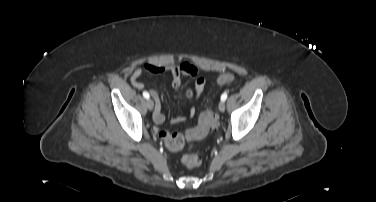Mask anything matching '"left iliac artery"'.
<instances>
[{
	"mask_svg": "<svg viewBox=\"0 0 376 202\" xmlns=\"http://www.w3.org/2000/svg\"><path fill=\"white\" fill-rule=\"evenodd\" d=\"M227 96H228L227 92H224V93L222 94V96H221V100H222V101H225V100L227 99Z\"/></svg>",
	"mask_w": 376,
	"mask_h": 202,
	"instance_id": "obj_1",
	"label": "left iliac artery"
}]
</instances>
